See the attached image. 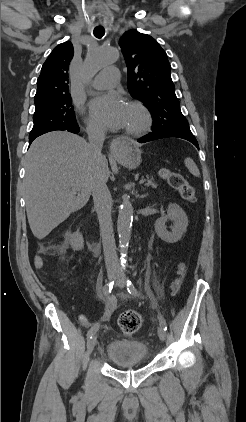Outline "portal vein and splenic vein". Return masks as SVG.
<instances>
[{
    "label": "portal vein and splenic vein",
    "mask_w": 246,
    "mask_h": 422,
    "mask_svg": "<svg viewBox=\"0 0 246 422\" xmlns=\"http://www.w3.org/2000/svg\"><path fill=\"white\" fill-rule=\"evenodd\" d=\"M144 183H146V184H151L152 182H151V181H148V180H146V179H141V180L139 181V184H144Z\"/></svg>",
    "instance_id": "18ae733b"
}]
</instances>
